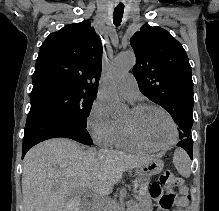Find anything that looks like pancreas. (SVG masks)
Listing matches in <instances>:
<instances>
[{"label": "pancreas", "mask_w": 219, "mask_h": 211, "mask_svg": "<svg viewBox=\"0 0 219 211\" xmlns=\"http://www.w3.org/2000/svg\"><path fill=\"white\" fill-rule=\"evenodd\" d=\"M122 205H126V211H138L141 208V202H135L134 199L122 200ZM105 209H111V211H116V207L114 205H107Z\"/></svg>", "instance_id": "cf45deb5"}]
</instances>
